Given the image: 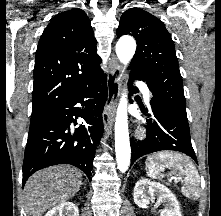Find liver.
Masks as SVG:
<instances>
[{"instance_id": "1", "label": "liver", "mask_w": 221, "mask_h": 216, "mask_svg": "<svg viewBox=\"0 0 221 216\" xmlns=\"http://www.w3.org/2000/svg\"><path fill=\"white\" fill-rule=\"evenodd\" d=\"M81 185V173L69 165L52 166L34 173L24 188L27 216H42L73 198Z\"/></svg>"}]
</instances>
